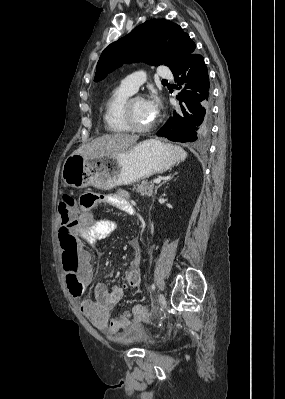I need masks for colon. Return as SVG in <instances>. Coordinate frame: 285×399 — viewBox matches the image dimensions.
Returning a JSON list of instances; mask_svg holds the SVG:
<instances>
[{
    "instance_id": "colon-1",
    "label": "colon",
    "mask_w": 285,
    "mask_h": 399,
    "mask_svg": "<svg viewBox=\"0 0 285 399\" xmlns=\"http://www.w3.org/2000/svg\"><path fill=\"white\" fill-rule=\"evenodd\" d=\"M98 194L88 193L81 199V206L93 207L98 203ZM75 204V199L72 195H64L60 201V211L62 213V223L65 226L67 222L66 214ZM64 273L67 279L68 288L71 294L79 296L81 292V281L79 277V255L78 252L72 248L67 250L62 257ZM147 315V308L142 305H134L126 310L120 316L112 319V326L126 327Z\"/></svg>"
}]
</instances>
